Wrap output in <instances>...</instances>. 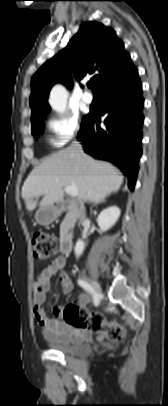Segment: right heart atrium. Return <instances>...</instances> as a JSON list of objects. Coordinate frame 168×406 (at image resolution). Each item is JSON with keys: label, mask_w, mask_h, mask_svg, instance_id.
<instances>
[{"label": "right heart atrium", "mask_w": 168, "mask_h": 406, "mask_svg": "<svg viewBox=\"0 0 168 406\" xmlns=\"http://www.w3.org/2000/svg\"><path fill=\"white\" fill-rule=\"evenodd\" d=\"M46 125L51 134V143L57 147L68 143L80 130L79 116L72 112L54 114Z\"/></svg>", "instance_id": "1"}]
</instances>
